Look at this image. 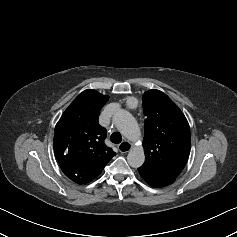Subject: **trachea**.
<instances>
[{"instance_id":"trachea-1","label":"trachea","mask_w":237,"mask_h":237,"mask_svg":"<svg viewBox=\"0 0 237 237\" xmlns=\"http://www.w3.org/2000/svg\"><path fill=\"white\" fill-rule=\"evenodd\" d=\"M110 140L115 144H119L122 141V136H121L120 133L114 132V133L111 134Z\"/></svg>"}]
</instances>
